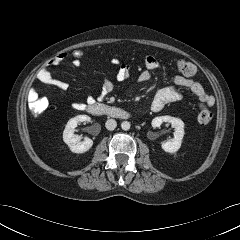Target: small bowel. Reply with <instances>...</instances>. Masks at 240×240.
<instances>
[{
  "instance_id": "1",
  "label": "small bowel",
  "mask_w": 240,
  "mask_h": 240,
  "mask_svg": "<svg viewBox=\"0 0 240 240\" xmlns=\"http://www.w3.org/2000/svg\"><path fill=\"white\" fill-rule=\"evenodd\" d=\"M65 59L66 57L64 53L57 54L56 56L51 58L48 64L38 71L37 79L45 85L53 86L63 90L67 89L68 84L63 80L53 77L49 71L50 66L58 65ZM110 63L112 66L118 68L116 73V82L121 83L129 78L130 66L128 64L121 63L117 59H112ZM144 65L145 69L138 76V80L140 82L149 81L151 78V72L159 69L161 66L160 62L151 55L145 57ZM172 82V85L160 89L155 94L151 102L152 111L159 112L163 110L167 104L180 100L183 96L182 89L190 90L191 93L196 96L202 104L206 106H212L215 102L214 98L211 95L207 94L203 86L199 82L193 80L190 76L176 75L173 77ZM116 87V83H114L108 78H104L102 80L101 91L98 95V99H104L107 95L112 93L116 89ZM38 98L39 97L37 91L34 88L30 89L28 93V100L31 101ZM94 102L95 98L89 96L86 103L76 101L72 103V106L76 110H85L89 104H92Z\"/></svg>"
}]
</instances>
